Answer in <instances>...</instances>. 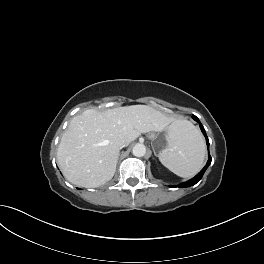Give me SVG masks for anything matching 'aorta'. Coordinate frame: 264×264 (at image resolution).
Returning <instances> with one entry per match:
<instances>
[{
  "instance_id": "obj_1",
  "label": "aorta",
  "mask_w": 264,
  "mask_h": 264,
  "mask_svg": "<svg viewBox=\"0 0 264 264\" xmlns=\"http://www.w3.org/2000/svg\"><path fill=\"white\" fill-rule=\"evenodd\" d=\"M132 153L136 157H142L146 154V147L143 144H136L133 149Z\"/></svg>"
}]
</instances>
